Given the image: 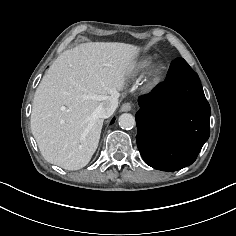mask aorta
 I'll list each match as a JSON object with an SVG mask.
<instances>
[{
    "instance_id": "1",
    "label": "aorta",
    "mask_w": 236,
    "mask_h": 236,
    "mask_svg": "<svg viewBox=\"0 0 236 236\" xmlns=\"http://www.w3.org/2000/svg\"><path fill=\"white\" fill-rule=\"evenodd\" d=\"M118 123L122 129H132L136 124L134 116L130 113L120 115Z\"/></svg>"
}]
</instances>
